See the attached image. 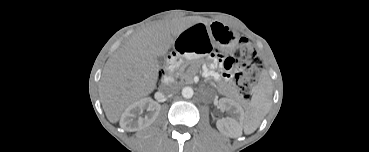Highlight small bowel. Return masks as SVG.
I'll return each mask as SVG.
<instances>
[{
  "instance_id": "1",
  "label": "small bowel",
  "mask_w": 369,
  "mask_h": 152,
  "mask_svg": "<svg viewBox=\"0 0 369 152\" xmlns=\"http://www.w3.org/2000/svg\"><path fill=\"white\" fill-rule=\"evenodd\" d=\"M206 74H207V75H212V74H213V72H212V71H206Z\"/></svg>"
}]
</instances>
